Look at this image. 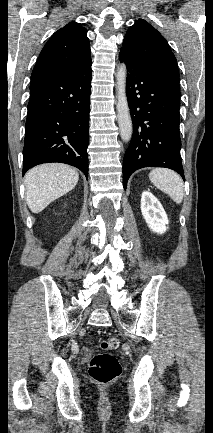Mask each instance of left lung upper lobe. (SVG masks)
<instances>
[{
    "mask_svg": "<svg viewBox=\"0 0 213 433\" xmlns=\"http://www.w3.org/2000/svg\"><path fill=\"white\" fill-rule=\"evenodd\" d=\"M120 53L149 74L179 88L177 60L166 39L147 21L138 19L129 27Z\"/></svg>",
    "mask_w": 213,
    "mask_h": 433,
    "instance_id": "left-lung-upper-lobe-1",
    "label": "left lung upper lobe"
}]
</instances>
